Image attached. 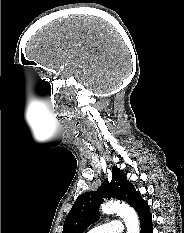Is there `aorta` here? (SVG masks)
I'll return each mask as SVG.
<instances>
[{"instance_id": "obj_1", "label": "aorta", "mask_w": 184, "mask_h": 233, "mask_svg": "<svg viewBox=\"0 0 184 233\" xmlns=\"http://www.w3.org/2000/svg\"><path fill=\"white\" fill-rule=\"evenodd\" d=\"M105 214L117 213L125 222L127 233H140L139 218L133 208L120 201L108 202L101 206Z\"/></svg>"}]
</instances>
